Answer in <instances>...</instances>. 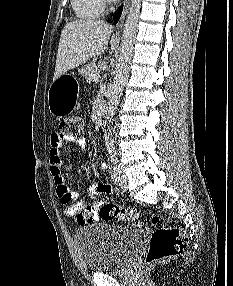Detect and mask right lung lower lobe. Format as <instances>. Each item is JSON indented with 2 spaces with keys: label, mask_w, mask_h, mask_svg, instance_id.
<instances>
[{
  "label": "right lung lower lobe",
  "mask_w": 233,
  "mask_h": 286,
  "mask_svg": "<svg viewBox=\"0 0 233 286\" xmlns=\"http://www.w3.org/2000/svg\"><path fill=\"white\" fill-rule=\"evenodd\" d=\"M122 8H123V6H121L114 14V21H115V23L118 22L119 17L121 16Z\"/></svg>",
  "instance_id": "98d812e1"
}]
</instances>
